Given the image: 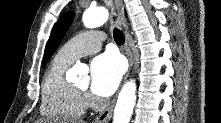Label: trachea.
<instances>
[{"label": "trachea", "mask_w": 221, "mask_h": 123, "mask_svg": "<svg viewBox=\"0 0 221 123\" xmlns=\"http://www.w3.org/2000/svg\"><path fill=\"white\" fill-rule=\"evenodd\" d=\"M114 18H115V17H114ZM113 37H114L115 42H116L118 45L124 44L125 38H124V34H123V32H122L121 30H119V29H117V28H114Z\"/></svg>", "instance_id": "3493384b"}]
</instances>
